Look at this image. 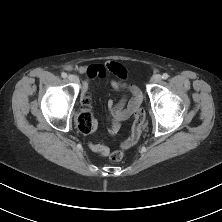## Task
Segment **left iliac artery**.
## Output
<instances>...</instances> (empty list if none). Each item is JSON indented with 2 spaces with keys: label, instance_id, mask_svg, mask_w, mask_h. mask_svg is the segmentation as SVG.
I'll return each instance as SVG.
<instances>
[{
  "label": "left iliac artery",
  "instance_id": "obj_1",
  "mask_svg": "<svg viewBox=\"0 0 222 222\" xmlns=\"http://www.w3.org/2000/svg\"><path fill=\"white\" fill-rule=\"evenodd\" d=\"M168 77H169V75H168L167 73H164V74L162 75V78H163L164 80L168 79Z\"/></svg>",
  "mask_w": 222,
  "mask_h": 222
}]
</instances>
